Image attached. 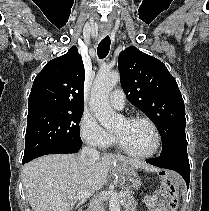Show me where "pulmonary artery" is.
Returning a JSON list of instances; mask_svg holds the SVG:
<instances>
[{"label": "pulmonary artery", "instance_id": "e3ab8cb5", "mask_svg": "<svg viewBox=\"0 0 209 211\" xmlns=\"http://www.w3.org/2000/svg\"><path fill=\"white\" fill-rule=\"evenodd\" d=\"M111 106L115 109L121 110L125 105V96L122 90H114L109 97Z\"/></svg>", "mask_w": 209, "mask_h": 211}]
</instances>
